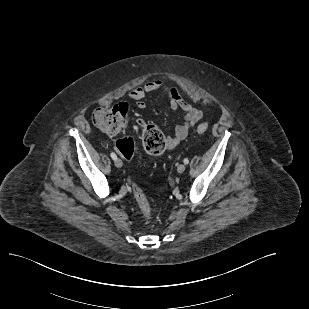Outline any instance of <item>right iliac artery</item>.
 <instances>
[{
    "label": "right iliac artery",
    "mask_w": 309,
    "mask_h": 309,
    "mask_svg": "<svg viewBox=\"0 0 309 309\" xmlns=\"http://www.w3.org/2000/svg\"><path fill=\"white\" fill-rule=\"evenodd\" d=\"M110 156H111V158H112L113 160H116V159H117V156H116V154H115L114 152H111Z\"/></svg>",
    "instance_id": "right-iliac-artery-1"
}]
</instances>
